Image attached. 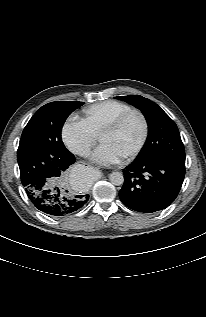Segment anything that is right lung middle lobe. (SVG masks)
Instances as JSON below:
<instances>
[{
  "instance_id": "1",
  "label": "right lung middle lobe",
  "mask_w": 206,
  "mask_h": 317,
  "mask_svg": "<svg viewBox=\"0 0 206 317\" xmlns=\"http://www.w3.org/2000/svg\"><path fill=\"white\" fill-rule=\"evenodd\" d=\"M84 102H51L42 106L26 125L17 151L23 185L32 179L51 174L55 184L64 182L67 171H57L61 156L70 152L61 139L62 126L67 117Z\"/></svg>"
}]
</instances>
